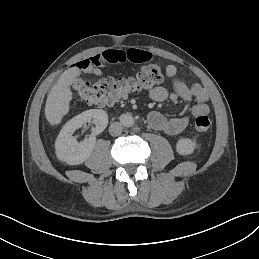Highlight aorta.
Instances as JSON below:
<instances>
[{
  "instance_id": "1",
  "label": "aorta",
  "mask_w": 259,
  "mask_h": 259,
  "mask_svg": "<svg viewBox=\"0 0 259 259\" xmlns=\"http://www.w3.org/2000/svg\"><path fill=\"white\" fill-rule=\"evenodd\" d=\"M134 122V118L131 115L124 114L121 116V123L124 127H131Z\"/></svg>"
}]
</instances>
